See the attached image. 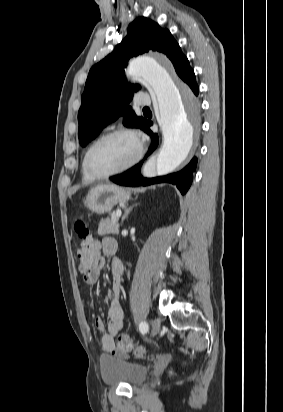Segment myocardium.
<instances>
[{"instance_id": "myocardium-1", "label": "myocardium", "mask_w": 283, "mask_h": 412, "mask_svg": "<svg viewBox=\"0 0 283 412\" xmlns=\"http://www.w3.org/2000/svg\"><path fill=\"white\" fill-rule=\"evenodd\" d=\"M117 135H129L132 136L138 143V151L136 156L126 165H124L123 167L116 169L114 171L105 173V174H99L97 172H95L90 164V159H91V155L93 153V151L96 149V147H98L101 143H103L104 141L108 140L111 137L117 136ZM144 155V144L140 138V136L137 134L136 131L130 129V128H117V129H113L109 132H106L105 134L101 135L100 137H98L87 149L86 154H85V168L87 170V172L90 174V176L93 179H107L110 178L114 175L120 174L130 168H132L133 166H135L143 157Z\"/></svg>"}]
</instances>
